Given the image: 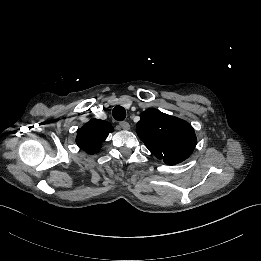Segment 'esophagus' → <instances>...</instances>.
<instances>
[{
    "mask_svg": "<svg viewBox=\"0 0 261 261\" xmlns=\"http://www.w3.org/2000/svg\"><path fill=\"white\" fill-rule=\"evenodd\" d=\"M122 129L124 130H129L130 129V124L127 121H122L119 123Z\"/></svg>",
    "mask_w": 261,
    "mask_h": 261,
    "instance_id": "34e87169",
    "label": "esophagus"
}]
</instances>
